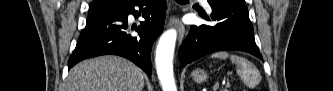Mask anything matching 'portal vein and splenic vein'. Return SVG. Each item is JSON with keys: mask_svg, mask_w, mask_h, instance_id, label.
<instances>
[{"mask_svg": "<svg viewBox=\"0 0 333 91\" xmlns=\"http://www.w3.org/2000/svg\"><path fill=\"white\" fill-rule=\"evenodd\" d=\"M229 86H230V84H229V83H227V84H226V87H229ZM216 87H217V86H216Z\"/></svg>", "mask_w": 333, "mask_h": 91, "instance_id": "portal-vein-and-splenic-vein-1", "label": "portal vein and splenic vein"}]
</instances>
